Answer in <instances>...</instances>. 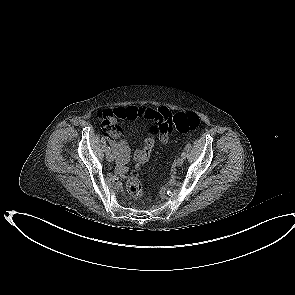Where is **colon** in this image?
<instances>
[{
  "instance_id": "colon-1",
  "label": "colon",
  "mask_w": 295,
  "mask_h": 295,
  "mask_svg": "<svg viewBox=\"0 0 295 295\" xmlns=\"http://www.w3.org/2000/svg\"><path fill=\"white\" fill-rule=\"evenodd\" d=\"M200 126V118L196 113L187 112V113H177V114H168L162 121L158 123L157 126H152L150 131L152 134L163 133V132H172L178 131L181 133H187L192 130L197 129ZM147 149L151 152L156 149L155 138L153 136H148L146 138ZM150 157V156H149ZM148 158H145L143 153H138L136 155V160L140 163L147 161ZM126 188L129 195L136 200H139L143 197L144 191L142 184L138 178L137 171H134L129 176L126 182Z\"/></svg>"
}]
</instances>
